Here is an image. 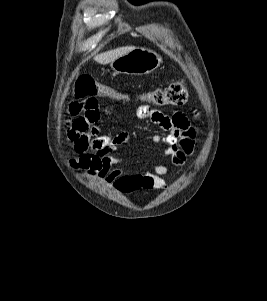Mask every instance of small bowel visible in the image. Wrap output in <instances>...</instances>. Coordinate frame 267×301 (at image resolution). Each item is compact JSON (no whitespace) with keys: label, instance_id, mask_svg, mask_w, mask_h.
I'll return each instance as SVG.
<instances>
[{"label":"small bowel","instance_id":"c3829d8e","mask_svg":"<svg viewBox=\"0 0 267 301\" xmlns=\"http://www.w3.org/2000/svg\"><path fill=\"white\" fill-rule=\"evenodd\" d=\"M104 111L112 113L113 107L107 106ZM68 112L72 117L67 124V135L74 143L78 157L71 161L75 168L84 170L89 176L98 178L111 185L123 194L138 190H164L167 183L163 176L168 171L166 163L157 164L152 171L126 172L113 168L118 162L115 150L125 143L126 135L121 133L114 137L102 135L98 127L102 111L96 98L75 100L69 104ZM137 118L148 120L160 127L165 135L155 134L153 143L166 145L165 156L170 159L180 172L188 157L195 154L198 130L191 120L180 111L166 115L149 106H140L136 110Z\"/></svg>","mask_w":267,"mask_h":301}]
</instances>
